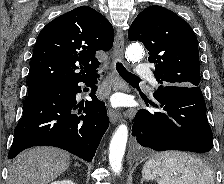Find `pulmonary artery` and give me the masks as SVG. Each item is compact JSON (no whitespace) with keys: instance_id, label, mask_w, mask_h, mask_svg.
Segmentation results:
<instances>
[{"instance_id":"e3ab8cb5","label":"pulmonary artery","mask_w":224,"mask_h":184,"mask_svg":"<svg viewBox=\"0 0 224 184\" xmlns=\"http://www.w3.org/2000/svg\"><path fill=\"white\" fill-rule=\"evenodd\" d=\"M135 76L137 77H152V72L147 64H139L135 69ZM156 81L153 80V84Z\"/></svg>"}]
</instances>
